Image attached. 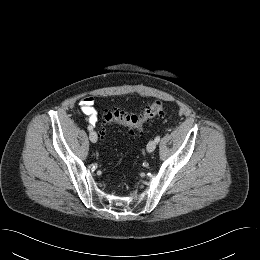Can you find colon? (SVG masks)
I'll use <instances>...</instances> for the list:
<instances>
[{
	"label": "colon",
	"mask_w": 260,
	"mask_h": 260,
	"mask_svg": "<svg viewBox=\"0 0 260 260\" xmlns=\"http://www.w3.org/2000/svg\"><path fill=\"white\" fill-rule=\"evenodd\" d=\"M163 105L160 101L149 103L139 114H126L118 109L106 110L102 114L105 125L116 124L125 127L129 132H140L151 119L161 115ZM103 136V133H102Z\"/></svg>",
	"instance_id": "obj_1"
}]
</instances>
